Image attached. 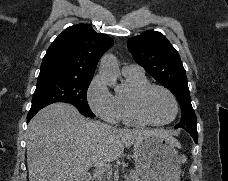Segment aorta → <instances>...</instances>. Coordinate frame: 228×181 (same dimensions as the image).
Listing matches in <instances>:
<instances>
[{"label": "aorta", "instance_id": "762f6f07", "mask_svg": "<svg viewBox=\"0 0 228 181\" xmlns=\"http://www.w3.org/2000/svg\"><path fill=\"white\" fill-rule=\"evenodd\" d=\"M100 75L108 82L112 87H116L117 78L119 76V68L117 60L112 54H105L100 60L99 66Z\"/></svg>", "mask_w": 228, "mask_h": 181}]
</instances>
